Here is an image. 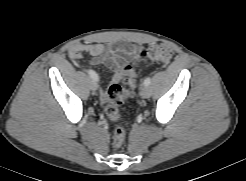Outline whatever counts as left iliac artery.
<instances>
[{
  "label": "left iliac artery",
  "instance_id": "44dca946",
  "mask_svg": "<svg viewBox=\"0 0 246 181\" xmlns=\"http://www.w3.org/2000/svg\"><path fill=\"white\" fill-rule=\"evenodd\" d=\"M151 83V79L148 77L144 80V85H149Z\"/></svg>",
  "mask_w": 246,
  "mask_h": 181
}]
</instances>
